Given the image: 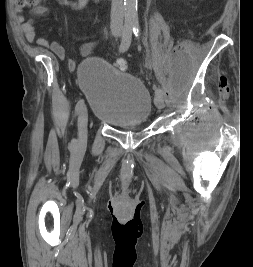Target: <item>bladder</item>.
Returning a JSON list of instances; mask_svg holds the SVG:
<instances>
[{"label":"bladder","mask_w":253,"mask_h":267,"mask_svg":"<svg viewBox=\"0 0 253 267\" xmlns=\"http://www.w3.org/2000/svg\"><path fill=\"white\" fill-rule=\"evenodd\" d=\"M81 75V88L99 121L125 126L144 123L150 117L152 98L139 78L99 58L85 60Z\"/></svg>","instance_id":"obj_1"}]
</instances>
